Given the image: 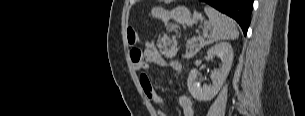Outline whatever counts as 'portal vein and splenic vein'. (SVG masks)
Instances as JSON below:
<instances>
[{"label":"portal vein and splenic vein","instance_id":"obj_1","mask_svg":"<svg viewBox=\"0 0 305 116\" xmlns=\"http://www.w3.org/2000/svg\"><path fill=\"white\" fill-rule=\"evenodd\" d=\"M199 40H200V43L204 42V40L201 37H199Z\"/></svg>","mask_w":305,"mask_h":116}]
</instances>
